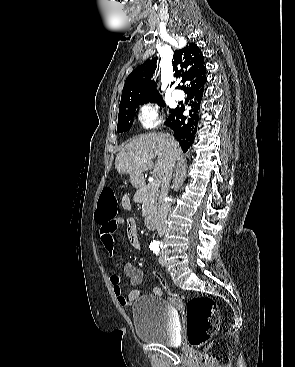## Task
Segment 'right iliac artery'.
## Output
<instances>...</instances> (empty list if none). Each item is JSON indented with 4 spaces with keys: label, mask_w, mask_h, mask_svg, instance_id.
<instances>
[{
    "label": "right iliac artery",
    "mask_w": 295,
    "mask_h": 367,
    "mask_svg": "<svg viewBox=\"0 0 295 367\" xmlns=\"http://www.w3.org/2000/svg\"><path fill=\"white\" fill-rule=\"evenodd\" d=\"M155 248H157V246H156V245H152V246H150V249H151V250H153V249H155Z\"/></svg>",
    "instance_id": "obj_1"
}]
</instances>
